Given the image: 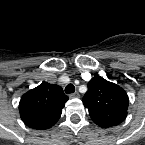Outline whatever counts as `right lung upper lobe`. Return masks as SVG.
Here are the masks:
<instances>
[{"mask_svg": "<svg viewBox=\"0 0 145 145\" xmlns=\"http://www.w3.org/2000/svg\"><path fill=\"white\" fill-rule=\"evenodd\" d=\"M67 100L68 96L60 86L43 82L21 97V119L32 129H49L60 118Z\"/></svg>", "mask_w": 145, "mask_h": 145, "instance_id": "right-lung-upper-lobe-1", "label": "right lung upper lobe"}]
</instances>
